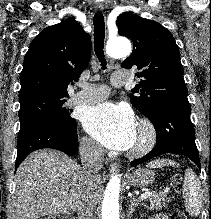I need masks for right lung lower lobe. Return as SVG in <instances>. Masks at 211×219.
<instances>
[{
	"instance_id": "1",
	"label": "right lung lower lobe",
	"mask_w": 211,
	"mask_h": 219,
	"mask_svg": "<svg viewBox=\"0 0 211 219\" xmlns=\"http://www.w3.org/2000/svg\"><path fill=\"white\" fill-rule=\"evenodd\" d=\"M18 152L15 170L31 152L52 148L69 156L78 152V135L76 122L63 125L54 121H40L21 128L18 134Z\"/></svg>"
}]
</instances>
